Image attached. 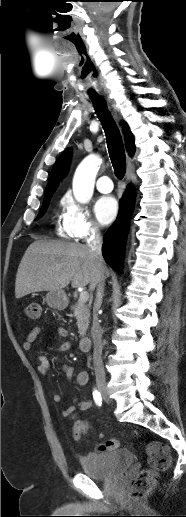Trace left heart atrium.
<instances>
[{"instance_id":"left-heart-atrium-1","label":"left heart atrium","mask_w":186,"mask_h":517,"mask_svg":"<svg viewBox=\"0 0 186 517\" xmlns=\"http://www.w3.org/2000/svg\"><path fill=\"white\" fill-rule=\"evenodd\" d=\"M94 211L98 221L103 225H107L111 223L117 215V201L111 196L101 197L96 201Z\"/></svg>"}]
</instances>
